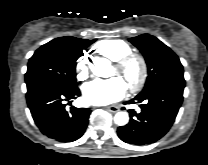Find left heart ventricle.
Wrapping results in <instances>:
<instances>
[{
  "label": "left heart ventricle",
  "instance_id": "left-heart-ventricle-1",
  "mask_svg": "<svg viewBox=\"0 0 208 165\" xmlns=\"http://www.w3.org/2000/svg\"><path fill=\"white\" fill-rule=\"evenodd\" d=\"M139 71V64L136 61H132L122 71L116 70V68L113 66L111 76L119 77L127 87L137 80L139 76Z\"/></svg>",
  "mask_w": 208,
  "mask_h": 165
}]
</instances>
